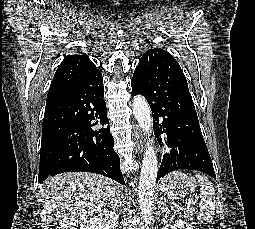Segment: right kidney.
Returning a JSON list of instances; mask_svg holds the SVG:
<instances>
[{"instance_id":"1","label":"right kidney","mask_w":255,"mask_h":229,"mask_svg":"<svg viewBox=\"0 0 255 229\" xmlns=\"http://www.w3.org/2000/svg\"><path fill=\"white\" fill-rule=\"evenodd\" d=\"M118 215L113 211H104L86 220L80 229H116Z\"/></svg>"}]
</instances>
